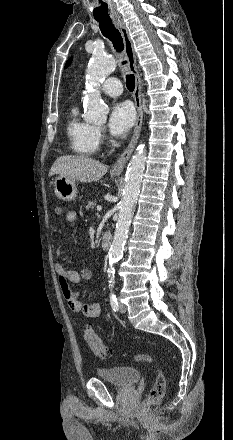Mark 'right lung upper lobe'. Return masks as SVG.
<instances>
[{"mask_svg":"<svg viewBox=\"0 0 233 440\" xmlns=\"http://www.w3.org/2000/svg\"><path fill=\"white\" fill-rule=\"evenodd\" d=\"M69 64H70V61H68V62H67V64H66V66H65V67H67V66H68Z\"/></svg>","mask_w":233,"mask_h":440,"instance_id":"obj_1","label":"right lung upper lobe"}]
</instances>
